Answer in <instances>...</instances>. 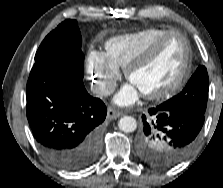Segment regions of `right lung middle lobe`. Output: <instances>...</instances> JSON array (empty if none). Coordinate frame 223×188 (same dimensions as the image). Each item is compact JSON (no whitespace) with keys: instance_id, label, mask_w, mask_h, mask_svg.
<instances>
[{"instance_id":"right-lung-middle-lobe-1","label":"right lung middle lobe","mask_w":223,"mask_h":188,"mask_svg":"<svg viewBox=\"0 0 223 188\" xmlns=\"http://www.w3.org/2000/svg\"><path fill=\"white\" fill-rule=\"evenodd\" d=\"M81 35L76 20H66L50 32L35 55L36 68H59L83 81V60Z\"/></svg>"}]
</instances>
